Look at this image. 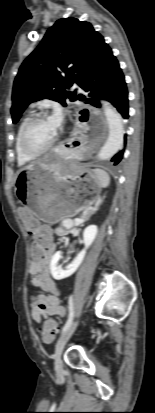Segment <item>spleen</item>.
Returning <instances> with one entry per match:
<instances>
[{
	"label": "spleen",
	"instance_id": "3e777b00",
	"mask_svg": "<svg viewBox=\"0 0 155 413\" xmlns=\"http://www.w3.org/2000/svg\"><path fill=\"white\" fill-rule=\"evenodd\" d=\"M93 171L96 174L101 186L106 188L110 183V176L108 173L101 169H94Z\"/></svg>",
	"mask_w": 155,
	"mask_h": 413
}]
</instances>
